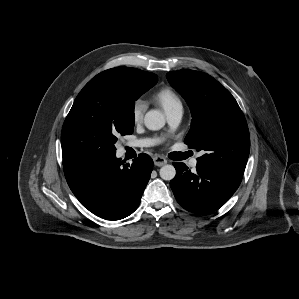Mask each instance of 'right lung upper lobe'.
I'll return each instance as SVG.
<instances>
[{
	"instance_id": "cb5924a9",
	"label": "right lung upper lobe",
	"mask_w": 299,
	"mask_h": 299,
	"mask_svg": "<svg viewBox=\"0 0 299 299\" xmlns=\"http://www.w3.org/2000/svg\"><path fill=\"white\" fill-rule=\"evenodd\" d=\"M98 75H115L130 88L150 89L158 81L156 74L130 67L112 68Z\"/></svg>"
}]
</instances>
